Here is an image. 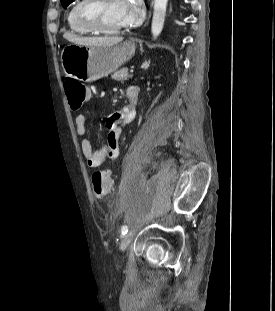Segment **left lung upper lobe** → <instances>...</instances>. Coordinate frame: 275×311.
<instances>
[{
  "label": "left lung upper lobe",
  "instance_id": "5c2ea615",
  "mask_svg": "<svg viewBox=\"0 0 275 311\" xmlns=\"http://www.w3.org/2000/svg\"><path fill=\"white\" fill-rule=\"evenodd\" d=\"M74 0H61L62 6L67 7L70 3H72Z\"/></svg>",
  "mask_w": 275,
  "mask_h": 311
}]
</instances>
